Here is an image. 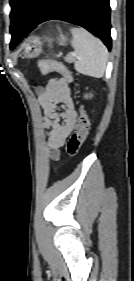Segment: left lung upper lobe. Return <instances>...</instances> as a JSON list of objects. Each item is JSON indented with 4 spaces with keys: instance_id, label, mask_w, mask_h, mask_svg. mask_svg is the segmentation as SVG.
Instances as JSON below:
<instances>
[{
    "instance_id": "obj_1",
    "label": "left lung upper lobe",
    "mask_w": 134,
    "mask_h": 281,
    "mask_svg": "<svg viewBox=\"0 0 134 281\" xmlns=\"http://www.w3.org/2000/svg\"><path fill=\"white\" fill-rule=\"evenodd\" d=\"M44 1L45 0H10V32H24L29 27L33 17ZM14 47V39H12L10 48L13 49Z\"/></svg>"
}]
</instances>
